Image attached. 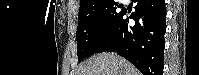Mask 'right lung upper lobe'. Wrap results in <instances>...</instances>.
Returning a JSON list of instances; mask_svg holds the SVG:
<instances>
[{
  "instance_id": "cb5924a9",
  "label": "right lung upper lobe",
  "mask_w": 199,
  "mask_h": 75,
  "mask_svg": "<svg viewBox=\"0 0 199 75\" xmlns=\"http://www.w3.org/2000/svg\"><path fill=\"white\" fill-rule=\"evenodd\" d=\"M112 0H81L79 14L86 13Z\"/></svg>"
}]
</instances>
